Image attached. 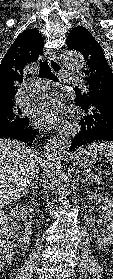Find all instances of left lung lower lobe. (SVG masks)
Here are the masks:
<instances>
[{
	"label": "left lung lower lobe",
	"mask_w": 113,
	"mask_h": 279,
	"mask_svg": "<svg viewBox=\"0 0 113 279\" xmlns=\"http://www.w3.org/2000/svg\"><path fill=\"white\" fill-rule=\"evenodd\" d=\"M94 102L76 97L75 104L82 109L81 131L74 138L70 149L99 141H113V100L94 95Z\"/></svg>",
	"instance_id": "left-lung-lower-lobe-1"
}]
</instances>
